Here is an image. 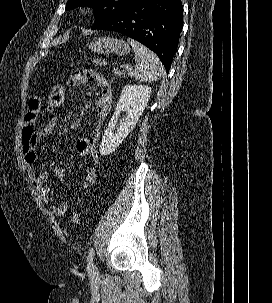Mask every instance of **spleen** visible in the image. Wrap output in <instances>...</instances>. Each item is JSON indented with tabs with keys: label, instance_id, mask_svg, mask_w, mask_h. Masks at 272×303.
<instances>
[{
	"label": "spleen",
	"instance_id": "spleen-1",
	"mask_svg": "<svg viewBox=\"0 0 272 303\" xmlns=\"http://www.w3.org/2000/svg\"><path fill=\"white\" fill-rule=\"evenodd\" d=\"M128 43L135 53L137 67L132 75L141 82H152L165 75V69L155 53L134 39L128 38Z\"/></svg>",
	"mask_w": 272,
	"mask_h": 303
}]
</instances>
